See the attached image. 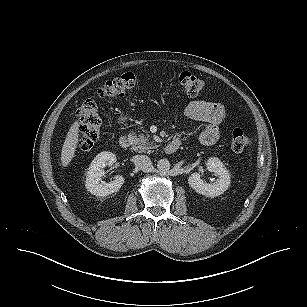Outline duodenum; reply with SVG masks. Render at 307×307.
<instances>
[{
    "label": "duodenum",
    "instance_id": "1",
    "mask_svg": "<svg viewBox=\"0 0 307 307\" xmlns=\"http://www.w3.org/2000/svg\"><path fill=\"white\" fill-rule=\"evenodd\" d=\"M133 139L129 136H122L119 140V146L122 149H128L132 145ZM181 146V141L179 139L171 140L165 147V152L167 154L175 153Z\"/></svg>",
    "mask_w": 307,
    "mask_h": 307
}]
</instances>
